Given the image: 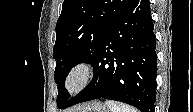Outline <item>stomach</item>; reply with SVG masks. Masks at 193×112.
<instances>
[{"label":"stomach","instance_id":"1","mask_svg":"<svg viewBox=\"0 0 193 112\" xmlns=\"http://www.w3.org/2000/svg\"><path fill=\"white\" fill-rule=\"evenodd\" d=\"M75 112H108L105 106L100 102L87 103L77 109Z\"/></svg>","mask_w":193,"mask_h":112}]
</instances>
